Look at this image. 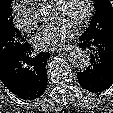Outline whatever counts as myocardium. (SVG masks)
Listing matches in <instances>:
<instances>
[{
  "instance_id": "myocardium-1",
  "label": "myocardium",
  "mask_w": 113,
  "mask_h": 113,
  "mask_svg": "<svg viewBox=\"0 0 113 113\" xmlns=\"http://www.w3.org/2000/svg\"><path fill=\"white\" fill-rule=\"evenodd\" d=\"M61 1L62 0H52L48 5V9L56 8ZM86 4H87L86 14L83 17V19L75 27L77 30H80L81 28L86 26L92 18L93 11H94L93 0H86Z\"/></svg>"
}]
</instances>
